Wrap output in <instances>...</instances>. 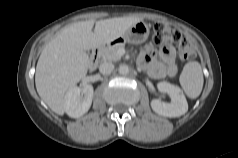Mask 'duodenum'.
I'll list each match as a JSON object with an SVG mask.
<instances>
[{
  "label": "duodenum",
  "instance_id": "410a0bca",
  "mask_svg": "<svg viewBox=\"0 0 238 158\" xmlns=\"http://www.w3.org/2000/svg\"><path fill=\"white\" fill-rule=\"evenodd\" d=\"M103 45L100 44V45H97L95 46L92 51H91V54H90V60H89V66L90 67H95L98 63V59H99V53H100V50L102 49Z\"/></svg>",
  "mask_w": 238,
  "mask_h": 158
}]
</instances>
